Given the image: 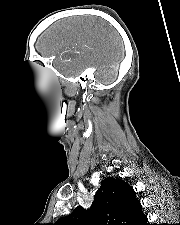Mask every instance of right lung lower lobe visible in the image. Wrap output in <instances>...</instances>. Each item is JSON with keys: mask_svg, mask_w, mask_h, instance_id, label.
Segmentation results:
<instances>
[{"mask_svg": "<svg viewBox=\"0 0 180 225\" xmlns=\"http://www.w3.org/2000/svg\"><path fill=\"white\" fill-rule=\"evenodd\" d=\"M140 225H149V224L147 223V217H145L144 221H143Z\"/></svg>", "mask_w": 180, "mask_h": 225, "instance_id": "98d812e1", "label": "right lung lower lobe"}]
</instances>
